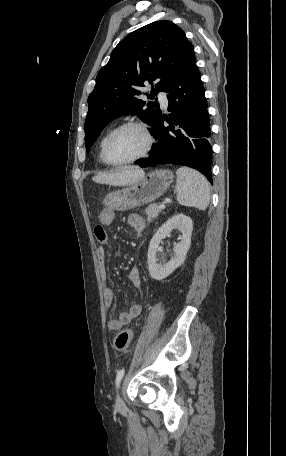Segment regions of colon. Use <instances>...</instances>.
Wrapping results in <instances>:
<instances>
[{"instance_id":"1","label":"colon","mask_w":286,"mask_h":456,"mask_svg":"<svg viewBox=\"0 0 286 456\" xmlns=\"http://www.w3.org/2000/svg\"><path fill=\"white\" fill-rule=\"evenodd\" d=\"M131 339H132V331L131 330H124V331L120 332L115 337V340H114L115 349L117 351L126 350L129 347V345H130Z\"/></svg>"}]
</instances>
